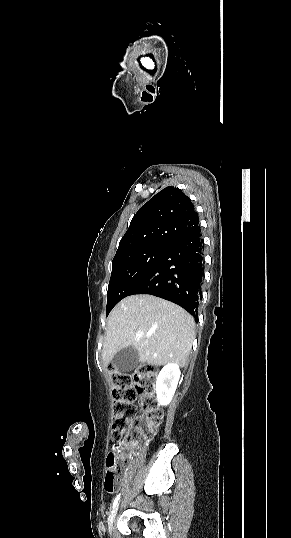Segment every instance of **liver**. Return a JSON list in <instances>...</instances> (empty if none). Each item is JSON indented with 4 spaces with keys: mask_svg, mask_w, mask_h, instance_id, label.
Wrapping results in <instances>:
<instances>
[{
    "mask_svg": "<svg viewBox=\"0 0 291 538\" xmlns=\"http://www.w3.org/2000/svg\"><path fill=\"white\" fill-rule=\"evenodd\" d=\"M194 326L193 317L176 304L149 294L128 296L108 317L103 363L108 365L120 350L133 347L142 363L160 366L176 362L184 366Z\"/></svg>",
    "mask_w": 291,
    "mask_h": 538,
    "instance_id": "1",
    "label": "liver"
}]
</instances>
